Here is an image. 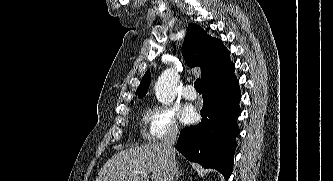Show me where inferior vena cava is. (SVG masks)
Instances as JSON below:
<instances>
[{"instance_id": "602c4592", "label": "inferior vena cava", "mask_w": 333, "mask_h": 181, "mask_svg": "<svg viewBox=\"0 0 333 181\" xmlns=\"http://www.w3.org/2000/svg\"><path fill=\"white\" fill-rule=\"evenodd\" d=\"M178 133H179L178 127L173 126L161 141V145L165 149L169 159V170L166 181H174V178L177 173V164L175 158L176 152L174 149V144L176 142Z\"/></svg>"}]
</instances>
